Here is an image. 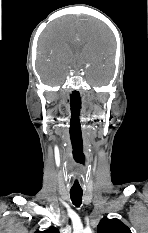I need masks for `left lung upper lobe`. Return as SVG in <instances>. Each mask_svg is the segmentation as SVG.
<instances>
[{"instance_id":"left-lung-upper-lobe-1","label":"left lung upper lobe","mask_w":148,"mask_h":233,"mask_svg":"<svg viewBox=\"0 0 148 233\" xmlns=\"http://www.w3.org/2000/svg\"><path fill=\"white\" fill-rule=\"evenodd\" d=\"M97 233H131V231L120 220L104 217L98 224Z\"/></svg>"}]
</instances>
